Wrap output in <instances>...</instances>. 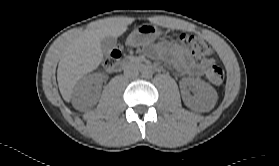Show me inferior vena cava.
Here are the masks:
<instances>
[{"label":"inferior vena cava","mask_w":279,"mask_h":166,"mask_svg":"<svg viewBox=\"0 0 279 166\" xmlns=\"http://www.w3.org/2000/svg\"><path fill=\"white\" fill-rule=\"evenodd\" d=\"M138 74V71L135 69H128L124 71V75L128 78H136Z\"/></svg>","instance_id":"602c4592"}]
</instances>
